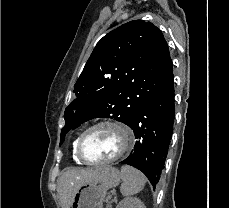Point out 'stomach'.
Wrapping results in <instances>:
<instances>
[{
	"label": "stomach",
	"instance_id": "1",
	"mask_svg": "<svg viewBox=\"0 0 229 208\" xmlns=\"http://www.w3.org/2000/svg\"><path fill=\"white\" fill-rule=\"evenodd\" d=\"M120 172L112 166H105L100 178H94L79 186L71 208H103V202L110 188H116L120 184Z\"/></svg>",
	"mask_w": 229,
	"mask_h": 208
}]
</instances>
